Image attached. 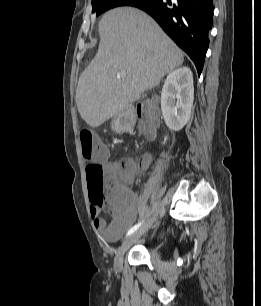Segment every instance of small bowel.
<instances>
[{"instance_id": "small-bowel-1", "label": "small bowel", "mask_w": 261, "mask_h": 306, "mask_svg": "<svg viewBox=\"0 0 261 306\" xmlns=\"http://www.w3.org/2000/svg\"><path fill=\"white\" fill-rule=\"evenodd\" d=\"M150 161L151 157L145 156L142 159V166L146 167ZM134 168L135 163L130 159L122 161L114 168L115 178L112 189L115 193L120 192L121 195L110 199L108 206L112 216L110 222L100 216L101 209L99 207L92 206L90 208V214L99 237L106 243L117 242L138 216V201L129 189L133 182Z\"/></svg>"}]
</instances>
